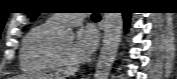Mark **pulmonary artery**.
<instances>
[{
    "mask_svg": "<svg viewBox=\"0 0 177 79\" xmlns=\"http://www.w3.org/2000/svg\"><path fill=\"white\" fill-rule=\"evenodd\" d=\"M85 17L86 14H54L47 20V22L60 29L66 25L80 23Z\"/></svg>",
    "mask_w": 177,
    "mask_h": 79,
    "instance_id": "obj_1",
    "label": "pulmonary artery"
}]
</instances>
